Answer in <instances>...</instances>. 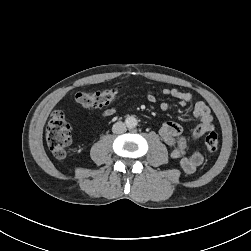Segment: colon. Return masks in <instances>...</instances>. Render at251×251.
<instances>
[{"instance_id":"1","label":"colon","mask_w":251,"mask_h":251,"mask_svg":"<svg viewBox=\"0 0 251 251\" xmlns=\"http://www.w3.org/2000/svg\"><path fill=\"white\" fill-rule=\"evenodd\" d=\"M121 87L79 92L76 94V101L84 108H99L109 104L115 99ZM46 140L52 154L57 159L65 157L71 145V127L64 113L56 110L51 115L46 128ZM205 147L210 154H214L219 147V137L217 133L210 132L205 138Z\"/></svg>"}]
</instances>
